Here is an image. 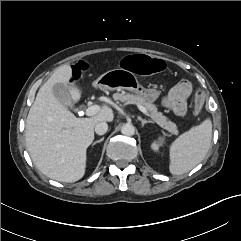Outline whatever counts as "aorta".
I'll use <instances>...</instances> for the list:
<instances>
[{"label":"aorta","instance_id":"aorta-1","mask_svg":"<svg viewBox=\"0 0 241 241\" xmlns=\"http://www.w3.org/2000/svg\"><path fill=\"white\" fill-rule=\"evenodd\" d=\"M121 133L125 136H132L135 134V127L130 123H126L122 126Z\"/></svg>","mask_w":241,"mask_h":241}]
</instances>
